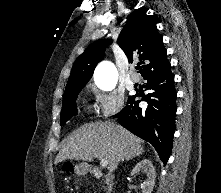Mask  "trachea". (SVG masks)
<instances>
[{
    "label": "trachea",
    "instance_id": "1",
    "mask_svg": "<svg viewBox=\"0 0 221 193\" xmlns=\"http://www.w3.org/2000/svg\"><path fill=\"white\" fill-rule=\"evenodd\" d=\"M138 69H140V67H139V66H137V67H136V70H138Z\"/></svg>",
    "mask_w": 221,
    "mask_h": 193
}]
</instances>
